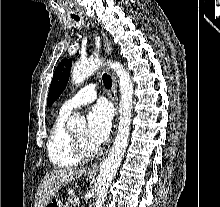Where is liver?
<instances>
[{"instance_id":"liver-1","label":"liver","mask_w":220,"mask_h":207,"mask_svg":"<svg viewBox=\"0 0 220 207\" xmlns=\"http://www.w3.org/2000/svg\"><path fill=\"white\" fill-rule=\"evenodd\" d=\"M84 173H86V168H62L46 174L39 184L35 207H45L62 186H66Z\"/></svg>"}]
</instances>
